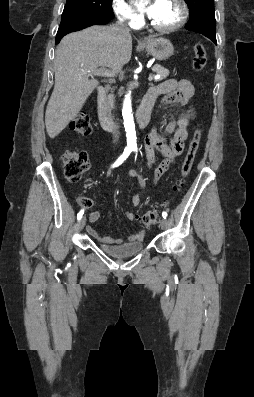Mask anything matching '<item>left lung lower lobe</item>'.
<instances>
[{
  "mask_svg": "<svg viewBox=\"0 0 254 397\" xmlns=\"http://www.w3.org/2000/svg\"><path fill=\"white\" fill-rule=\"evenodd\" d=\"M185 28L187 30L198 32L205 35L217 45L216 35H215L216 21H211V20H206L202 22L188 21Z\"/></svg>",
  "mask_w": 254,
  "mask_h": 397,
  "instance_id": "0a47b994",
  "label": "left lung lower lobe"
}]
</instances>
